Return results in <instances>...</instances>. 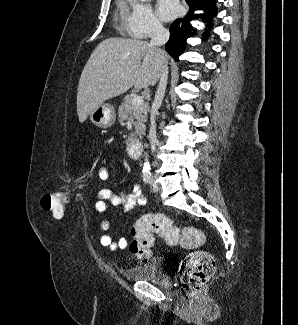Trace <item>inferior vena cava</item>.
<instances>
[{
  "label": "inferior vena cava",
  "mask_w": 298,
  "mask_h": 325,
  "mask_svg": "<svg viewBox=\"0 0 298 325\" xmlns=\"http://www.w3.org/2000/svg\"><path fill=\"white\" fill-rule=\"evenodd\" d=\"M170 38V32L168 28H165V26H162L161 22H154L153 24V30L151 34V40L149 42L150 46H162V44H166L167 40ZM162 52V56H164V64L160 68V76H159V84L157 86V90L155 92V98L152 102L151 106V112H150V130H149V140L151 142V150L154 152L155 150V144L157 142V132H156V114L158 108H160L162 104V100L165 96V90L167 86V80H168V62H167V52L163 50V48H160Z\"/></svg>",
  "instance_id": "inferior-vena-cava-1"
}]
</instances>
